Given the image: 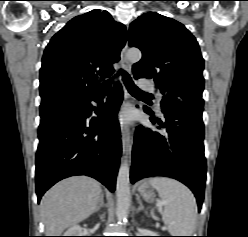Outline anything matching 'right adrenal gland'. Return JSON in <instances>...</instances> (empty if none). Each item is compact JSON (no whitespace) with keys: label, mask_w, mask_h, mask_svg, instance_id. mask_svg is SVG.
Listing matches in <instances>:
<instances>
[{"label":"right adrenal gland","mask_w":248,"mask_h":237,"mask_svg":"<svg viewBox=\"0 0 248 237\" xmlns=\"http://www.w3.org/2000/svg\"><path fill=\"white\" fill-rule=\"evenodd\" d=\"M103 206H104V194L101 193L99 202H98L97 207H96L94 212H98L100 210V208Z\"/></svg>","instance_id":"1"}]
</instances>
